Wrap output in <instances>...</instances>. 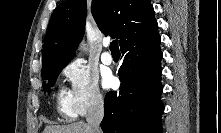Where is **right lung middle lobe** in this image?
Wrapping results in <instances>:
<instances>
[{"mask_svg":"<svg viewBox=\"0 0 221 133\" xmlns=\"http://www.w3.org/2000/svg\"><path fill=\"white\" fill-rule=\"evenodd\" d=\"M68 64V62L50 64L42 68V78L48 80L44 83V91L50 92V87L54 85L61 70Z\"/></svg>","mask_w":221,"mask_h":133,"instance_id":"obj_1","label":"right lung middle lobe"}]
</instances>
